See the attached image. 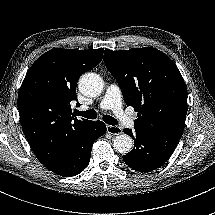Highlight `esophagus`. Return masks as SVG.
Segmentation results:
<instances>
[{
	"label": "esophagus",
	"mask_w": 215,
	"mask_h": 215,
	"mask_svg": "<svg viewBox=\"0 0 215 215\" xmlns=\"http://www.w3.org/2000/svg\"><path fill=\"white\" fill-rule=\"evenodd\" d=\"M106 130L109 134L112 135H120L123 133V130L121 127L119 126H112V125H106Z\"/></svg>",
	"instance_id": "1"
}]
</instances>
